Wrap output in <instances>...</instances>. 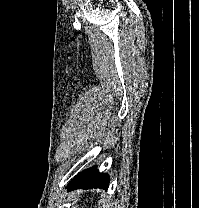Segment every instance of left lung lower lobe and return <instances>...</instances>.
Returning a JSON list of instances; mask_svg holds the SVG:
<instances>
[{
  "label": "left lung lower lobe",
  "mask_w": 199,
  "mask_h": 208,
  "mask_svg": "<svg viewBox=\"0 0 199 208\" xmlns=\"http://www.w3.org/2000/svg\"><path fill=\"white\" fill-rule=\"evenodd\" d=\"M108 174L99 173L96 166L80 172L67 186L68 190L100 188L107 190L109 186Z\"/></svg>",
  "instance_id": "obj_1"
}]
</instances>
